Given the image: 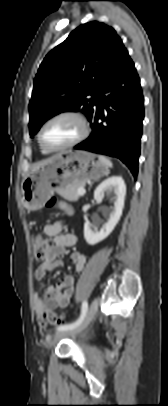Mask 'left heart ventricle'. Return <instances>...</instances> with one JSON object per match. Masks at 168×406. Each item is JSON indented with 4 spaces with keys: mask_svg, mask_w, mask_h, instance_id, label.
<instances>
[{
    "mask_svg": "<svg viewBox=\"0 0 168 406\" xmlns=\"http://www.w3.org/2000/svg\"><path fill=\"white\" fill-rule=\"evenodd\" d=\"M80 126L74 119L61 118L49 123L43 131L46 145L59 147L68 144L78 136Z\"/></svg>",
    "mask_w": 168,
    "mask_h": 406,
    "instance_id": "b2bd125f",
    "label": "left heart ventricle"
}]
</instances>
